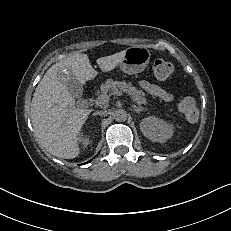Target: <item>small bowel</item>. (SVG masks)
<instances>
[{
  "instance_id": "obj_1",
  "label": "small bowel",
  "mask_w": 231,
  "mask_h": 231,
  "mask_svg": "<svg viewBox=\"0 0 231 231\" xmlns=\"http://www.w3.org/2000/svg\"><path fill=\"white\" fill-rule=\"evenodd\" d=\"M140 86L150 95L158 97L164 101H170L173 99V95L160 85L151 83L147 80H142Z\"/></svg>"
}]
</instances>
